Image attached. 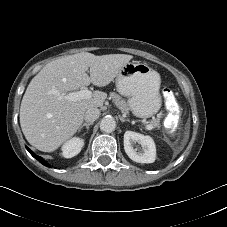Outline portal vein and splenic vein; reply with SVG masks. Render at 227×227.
Segmentation results:
<instances>
[{
	"label": "portal vein and splenic vein",
	"mask_w": 227,
	"mask_h": 227,
	"mask_svg": "<svg viewBox=\"0 0 227 227\" xmlns=\"http://www.w3.org/2000/svg\"><path fill=\"white\" fill-rule=\"evenodd\" d=\"M92 96V92L88 90L87 88H82L81 90L77 92H71L65 96V99L68 101H78L82 99H88ZM146 129L152 130L154 127L151 124L145 125Z\"/></svg>",
	"instance_id": "1"
}]
</instances>
